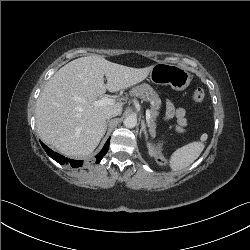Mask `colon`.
Listing matches in <instances>:
<instances>
[{
  "mask_svg": "<svg viewBox=\"0 0 250 250\" xmlns=\"http://www.w3.org/2000/svg\"><path fill=\"white\" fill-rule=\"evenodd\" d=\"M205 98V92L202 88H196L192 93V99L195 102H202ZM164 147L162 145H157L152 151V156L156 158V162L163 166H173L175 164V159L173 157H166L164 154Z\"/></svg>",
  "mask_w": 250,
  "mask_h": 250,
  "instance_id": "obj_1",
  "label": "colon"
}]
</instances>
